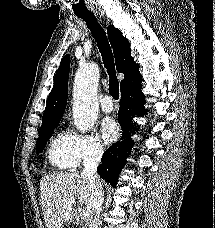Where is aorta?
Wrapping results in <instances>:
<instances>
[{
    "label": "aorta",
    "mask_w": 215,
    "mask_h": 228,
    "mask_svg": "<svg viewBox=\"0 0 215 228\" xmlns=\"http://www.w3.org/2000/svg\"><path fill=\"white\" fill-rule=\"evenodd\" d=\"M98 78L99 68L96 64H87L75 76L73 120L81 132H91L98 118Z\"/></svg>",
    "instance_id": "762f6f07"
}]
</instances>
